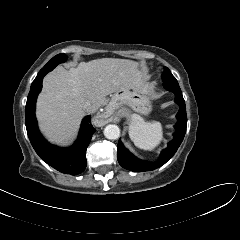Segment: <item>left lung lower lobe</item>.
Returning <instances> with one entry per match:
<instances>
[{
    "label": "left lung lower lobe",
    "mask_w": 240,
    "mask_h": 240,
    "mask_svg": "<svg viewBox=\"0 0 240 240\" xmlns=\"http://www.w3.org/2000/svg\"><path fill=\"white\" fill-rule=\"evenodd\" d=\"M164 87L172 91L175 94V102L179 104L180 110L177 114L178 122L175 125V133H174V139L169 142L168 147L163 150L160 154L159 160L157 162H146L142 161L135 156H133L122 144V142L119 140L118 146H117V159L119 164L128 170L134 171V172H143V171H151L156 168L161 167L163 164H165L177 151L178 147L183 141L184 135L186 133V125H187V116H186V107H185V101L182 96L181 89L178 85V83H170V82H164Z\"/></svg>",
    "instance_id": "left-lung-lower-lobe-1"
}]
</instances>
